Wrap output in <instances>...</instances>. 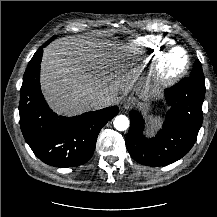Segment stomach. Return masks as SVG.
<instances>
[{"mask_svg":"<svg viewBox=\"0 0 217 217\" xmlns=\"http://www.w3.org/2000/svg\"><path fill=\"white\" fill-rule=\"evenodd\" d=\"M140 105H141V106H145V104H143V103H140Z\"/></svg>","mask_w":217,"mask_h":217,"instance_id":"1","label":"stomach"}]
</instances>
